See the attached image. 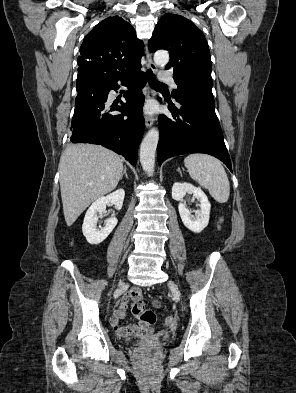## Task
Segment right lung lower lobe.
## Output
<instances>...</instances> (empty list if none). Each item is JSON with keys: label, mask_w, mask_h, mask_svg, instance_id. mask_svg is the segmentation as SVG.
Here are the masks:
<instances>
[{"label": "right lung lower lobe", "mask_w": 296, "mask_h": 393, "mask_svg": "<svg viewBox=\"0 0 296 393\" xmlns=\"http://www.w3.org/2000/svg\"><path fill=\"white\" fill-rule=\"evenodd\" d=\"M118 81L124 86L130 84V91L124 96L125 102H120L121 106H109V91L120 87ZM145 84V73L140 69L116 78L97 75L87 68L79 69L70 140L102 145L124 156L135 166L145 125L142 115V88ZM114 111L121 114H113Z\"/></svg>", "instance_id": "98d812e1"}]
</instances>
